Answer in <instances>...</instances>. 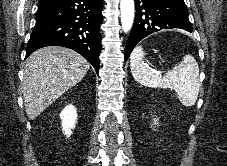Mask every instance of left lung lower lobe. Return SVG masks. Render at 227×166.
<instances>
[{
	"label": "left lung lower lobe",
	"mask_w": 227,
	"mask_h": 166,
	"mask_svg": "<svg viewBox=\"0 0 227 166\" xmlns=\"http://www.w3.org/2000/svg\"><path fill=\"white\" fill-rule=\"evenodd\" d=\"M135 10V21L124 53L125 61L136 44L152 33L172 28L192 32L184 0H136Z\"/></svg>",
	"instance_id": "left-lung-lower-lobe-1"
}]
</instances>
